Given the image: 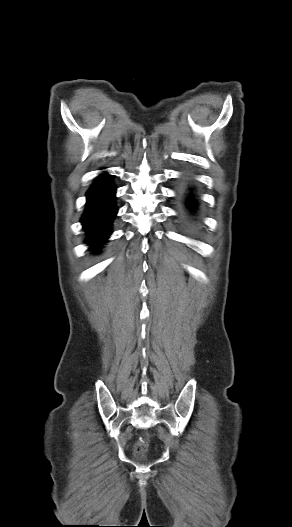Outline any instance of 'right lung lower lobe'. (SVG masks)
<instances>
[{"instance_id": "98d812e1", "label": "right lung lower lobe", "mask_w": 292, "mask_h": 527, "mask_svg": "<svg viewBox=\"0 0 292 527\" xmlns=\"http://www.w3.org/2000/svg\"><path fill=\"white\" fill-rule=\"evenodd\" d=\"M86 211L81 222L92 248L100 247L110 235L111 223L117 214L115 187L108 175L99 176L86 194Z\"/></svg>"}]
</instances>
